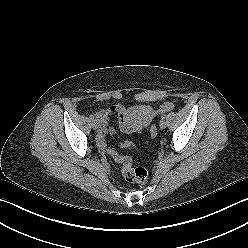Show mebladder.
Here are the masks:
<instances>
[{"label":"bladder","instance_id":"1","mask_svg":"<svg viewBox=\"0 0 248 248\" xmlns=\"http://www.w3.org/2000/svg\"><path fill=\"white\" fill-rule=\"evenodd\" d=\"M151 120V112L143 106L133 107L126 111V121L131 127L144 128Z\"/></svg>","mask_w":248,"mask_h":248}]
</instances>
